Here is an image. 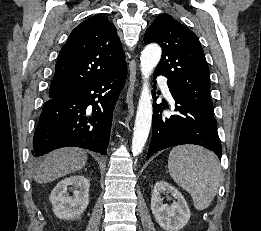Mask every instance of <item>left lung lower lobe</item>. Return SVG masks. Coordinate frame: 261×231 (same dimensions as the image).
Listing matches in <instances>:
<instances>
[{
    "mask_svg": "<svg viewBox=\"0 0 261 231\" xmlns=\"http://www.w3.org/2000/svg\"><path fill=\"white\" fill-rule=\"evenodd\" d=\"M157 75L154 74V78ZM175 100L177 114L162 115L168 105L154 103L153 133L147 158L157 151L182 144L203 146L221 158L222 147L217 132V122L213 112L190 104L171 93ZM154 101H156V95Z\"/></svg>",
    "mask_w": 261,
    "mask_h": 231,
    "instance_id": "0a47b994",
    "label": "left lung lower lobe"
}]
</instances>
